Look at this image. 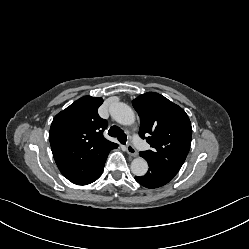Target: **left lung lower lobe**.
I'll use <instances>...</instances> for the list:
<instances>
[{"instance_id":"obj_1","label":"left lung lower lobe","mask_w":249,"mask_h":249,"mask_svg":"<svg viewBox=\"0 0 249 249\" xmlns=\"http://www.w3.org/2000/svg\"><path fill=\"white\" fill-rule=\"evenodd\" d=\"M149 165L148 172L141 177L135 176V180L144 187L158 188L170 182L175 174L162 171L153 165Z\"/></svg>"}]
</instances>
